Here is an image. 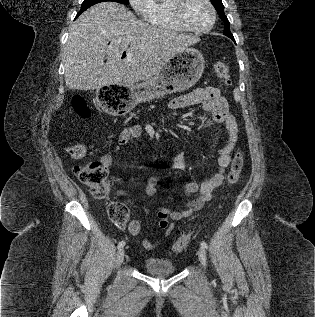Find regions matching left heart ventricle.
Here are the masks:
<instances>
[{"label":"left heart ventricle","mask_w":315,"mask_h":317,"mask_svg":"<svg viewBox=\"0 0 315 317\" xmlns=\"http://www.w3.org/2000/svg\"><path fill=\"white\" fill-rule=\"evenodd\" d=\"M186 22L194 28H203L210 23L211 14L204 0H188L184 9Z\"/></svg>","instance_id":"b2bd125f"}]
</instances>
